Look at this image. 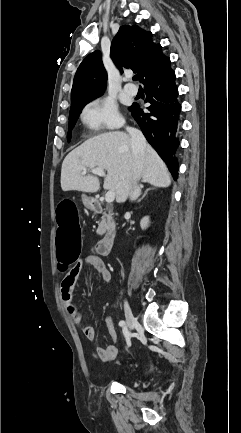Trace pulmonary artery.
<instances>
[{"mask_svg":"<svg viewBox=\"0 0 241 433\" xmlns=\"http://www.w3.org/2000/svg\"><path fill=\"white\" fill-rule=\"evenodd\" d=\"M124 89L130 95H136L138 91L137 87L133 84H126Z\"/></svg>","mask_w":241,"mask_h":433,"instance_id":"1","label":"pulmonary artery"}]
</instances>
